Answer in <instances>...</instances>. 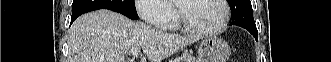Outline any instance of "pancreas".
I'll return each instance as SVG.
<instances>
[{"instance_id":"obj_1","label":"pancreas","mask_w":331,"mask_h":62,"mask_svg":"<svg viewBox=\"0 0 331 62\" xmlns=\"http://www.w3.org/2000/svg\"><path fill=\"white\" fill-rule=\"evenodd\" d=\"M181 60H183L184 62H198V60H196V58L191 54H183ZM178 61H180V59H178Z\"/></svg>"}]
</instances>
